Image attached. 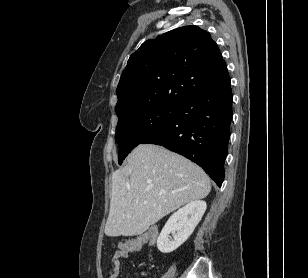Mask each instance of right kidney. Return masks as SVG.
I'll return each instance as SVG.
<instances>
[{"label": "right kidney", "mask_w": 308, "mask_h": 278, "mask_svg": "<svg viewBox=\"0 0 308 278\" xmlns=\"http://www.w3.org/2000/svg\"><path fill=\"white\" fill-rule=\"evenodd\" d=\"M206 207L205 201L197 200L175 212L168 219L157 239L158 250L162 253H170L181 246L193 233ZM170 234L173 235V239H169Z\"/></svg>", "instance_id": "ca27d5eb"}]
</instances>
